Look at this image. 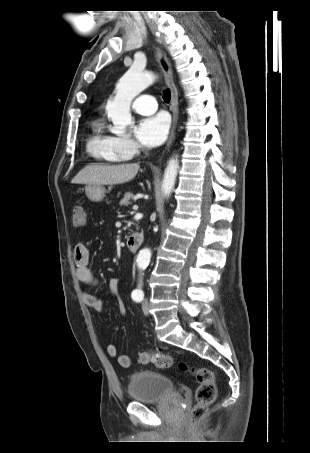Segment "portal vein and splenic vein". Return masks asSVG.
<instances>
[{
	"label": "portal vein and splenic vein",
	"mask_w": 310,
	"mask_h": 453,
	"mask_svg": "<svg viewBox=\"0 0 310 453\" xmlns=\"http://www.w3.org/2000/svg\"><path fill=\"white\" fill-rule=\"evenodd\" d=\"M133 210H138V206H137V205H134V206H133Z\"/></svg>",
	"instance_id": "obj_1"
}]
</instances>
